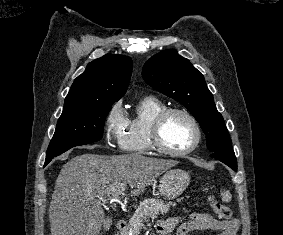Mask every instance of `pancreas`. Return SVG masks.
I'll use <instances>...</instances> for the list:
<instances>
[{"label": "pancreas", "instance_id": "obj_1", "mask_svg": "<svg viewBox=\"0 0 283 235\" xmlns=\"http://www.w3.org/2000/svg\"><path fill=\"white\" fill-rule=\"evenodd\" d=\"M171 205L175 206L176 203H164L162 200L156 198L144 199L129 220L131 235H139L144 225V219L146 220L149 217L154 218L158 214L167 213Z\"/></svg>", "mask_w": 283, "mask_h": 235}]
</instances>
